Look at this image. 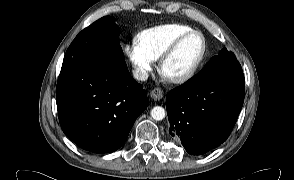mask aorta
I'll list each match as a JSON object with an SVG mask.
<instances>
[{"label": "aorta", "instance_id": "aorta-1", "mask_svg": "<svg viewBox=\"0 0 294 180\" xmlns=\"http://www.w3.org/2000/svg\"><path fill=\"white\" fill-rule=\"evenodd\" d=\"M151 117L154 120L160 121L165 118V110L161 106H155L150 112Z\"/></svg>", "mask_w": 294, "mask_h": 180}]
</instances>
